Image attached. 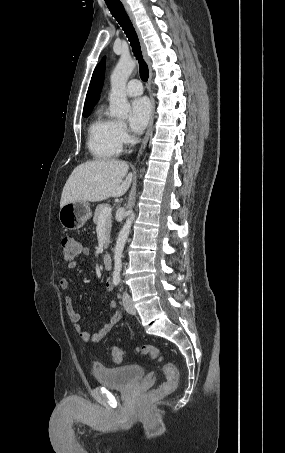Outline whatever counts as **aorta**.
I'll use <instances>...</instances> for the list:
<instances>
[{
  "label": "aorta",
  "instance_id": "1",
  "mask_svg": "<svg viewBox=\"0 0 285 453\" xmlns=\"http://www.w3.org/2000/svg\"><path fill=\"white\" fill-rule=\"evenodd\" d=\"M136 66V62L129 56H121L110 78L111 92L110 99V115L112 117L125 119L130 111V104L126 97V83ZM135 218L133 211L127 218L125 224L120 230L116 245L114 248V273L119 274L122 270V256L125 243L128 239L130 229Z\"/></svg>",
  "mask_w": 285,
  "mask_h": 453
}]
</instances>
